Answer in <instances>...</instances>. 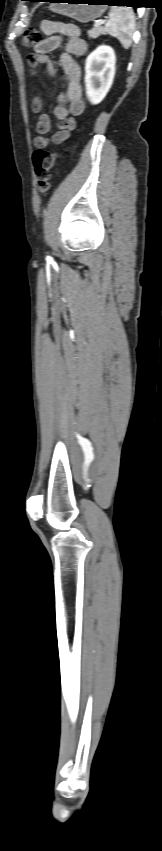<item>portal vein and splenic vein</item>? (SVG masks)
Here are the masks:
<instances>
[{
	"label": "portal vein and splenic vein",
	"mask_w": 162,
	"mask_h": 851,
	"mask_svg": "<svg viewBox=\"0 0 162 851\" xmlns=\"http://www.w3.org/2000/svg\"><path fill=\"white\" fill-rule=\"evenodd\" d=\"M104 23H105V20H102V21H100V22H96V23L94 24V27H98L99 25L104 24Z\"/></svg>",
	"instance_id": "18ae733b"
}]
</instances>
